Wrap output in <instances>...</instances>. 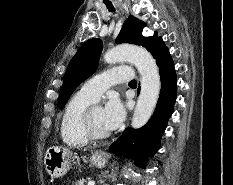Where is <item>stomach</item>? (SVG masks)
<instances>
[{"instance_id": "1", "label": "stomach", "mask_w": 233, "mask_h": 185, "mask_svg": "<svg viewBox=\"0 0 233 185\" xmlns=\"http://www.w3.org/2000/svg\"><path fill=\"white\" fill-rule=\"evenodd\" d=\"M76 160L78 161L79 157L69 149L52 146L45 153V169L52 178L62 177L70 170ZM90 161L94 166L101 168L106 164L107 159L102 153L94 152Z\"/></svg>"}]
</instances>
